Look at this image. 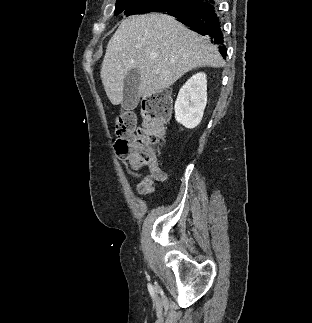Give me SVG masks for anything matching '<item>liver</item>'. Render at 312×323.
I'll use <instances>...</instances> for the list:
<instances>
[{
    "mask_svg": "<svg viewBox=\"0 0 312 323\" xmlns=\"http://www.w3.org/2000/svg\"><path fill=\"white\" fill-rule=\"evenodd\" d=\"M217 46L168 14H143L122 20L107 44L100 78L114 106L122 104L125 76L139 70V98L170 88L186 72L224 68Z\"/></svg>",
    "mask_w": 312,
    "mask_h": 323,
    "instance_id": "6515ba94",
    "label": "liver"
}]
</instances>
